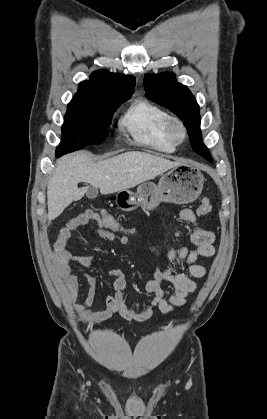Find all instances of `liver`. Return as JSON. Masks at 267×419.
Here are the masks:
<instances>
[{
    "mask_svg": "<svg viewBox=\"0 0 267 419\" xmlns=\"http://www.w3.org/2000/svg\"><path fill=\"white\" fill-rule=\"evenodd\" d=\"M179 164L140 151L125 152L100 162H94L88 152L66 155L56 162L47 185L48 224L84 196L86 188H78L79 182L89 183L107 195L133 188Z\"/></svg>",
    "mask_w": 267,
    "mask_h": 419,
    "instance_id": "liver-1",
    "label": "liver"
}]
</instances>
